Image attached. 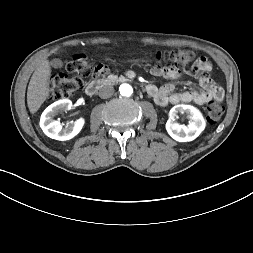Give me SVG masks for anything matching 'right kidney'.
I'll return each instance as SVG.
<instances>
[{
	"label": "right kidney",
	"mask_w": 253,
	"mask_h": 253,
	"mask_svg": "<svg viewBox=\"0 0 253 253\" xmlns=\"http://www.w3.org/2000/svg\"><path fill=\"white\" fill-rule=\"evenodd\" d=\"M72 108V101L63 99L54 102L48 106L41 115L40 127L43 132L50 138L65 141L76 136L85 124L84 118L76 120L74 123L67 124L63 127L58 121L53 120V117L58 112L68 111Z\"/></svg>",
	"instance_id": "obj_1"
}]
</instances>
